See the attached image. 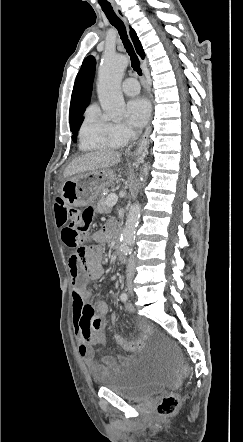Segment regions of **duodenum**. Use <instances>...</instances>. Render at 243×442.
<instances>
[{
	"instance_id": "obj_1",
	"label": "duodenum",
	"mask_w": 243,
	"mask_h": 442,
	"mask_svg": "<svg viewBox=\"0 0 243 442\" xmlns=\"http://www.w3.org/2000/svg\"><path fill=\"white\" fill-rule=\"evenodd\" d=\"M116 251H117L119 258H121L123 260L127 259L126 256L124 255V252H123L122 243L120 242V240L118 238L116 240Z\"/></svg>"
}]
</instances>
